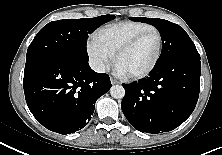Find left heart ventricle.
Wrapping results in <instances>:
<instances>
[{
    "mask_svg": "<svg viewBox=\"0 0 222 155\" xmlns=\"http://www.w3.org/2000/svg\"><path fill=\"white\" fill-rule=\"evenodd\" d=\"M159 47V38L155 32L143 37L132 49L123 53L118 63L127 73L136 74L146 70L155 60Z\"/></svg>",
    "mask_w": 222,
    "mask_h": 155,
    "instance_id": "obj_1",
    "label": "left heart ventricle"
}]
</instances>
